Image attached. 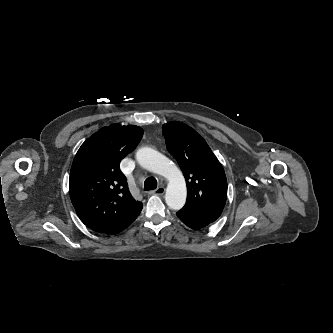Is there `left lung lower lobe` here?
Returning <instances> with one entry per match:
<instances>
[{
  "mask_svg": "<svg viewBox=\"0 0 333 333\" xmlns=\"http://www.w3.org/2000/svg\"><path fill=\"white\" fill-rule=\"evenodd\" d=\"M176 215L188 227L198 230L218 219L219 216L209 215L183 207Z\"/></svg>",
  "mask_w": 333,
  "mask_h": 333,
  "instance_id": "1",
  "label": "left lung lower lobe"
}]
</instances>
